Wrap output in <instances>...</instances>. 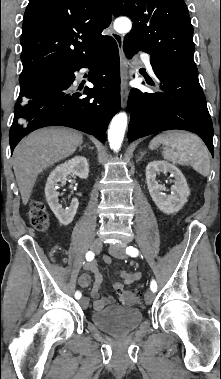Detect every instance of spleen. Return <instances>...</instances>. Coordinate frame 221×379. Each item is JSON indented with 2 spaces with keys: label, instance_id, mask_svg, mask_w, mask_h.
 <instances>
[{
  "label": "spleen",
  "instance_id": "1",
  "mask_svg": "<svg viewBox=\"0 0 221 379\" xmlns=\"http://www.w3.org/2000/svg\"><path fill=\"white\" fill-rule=\"evenodd\" d=\"M162 144L163 158L179 165H190L202 176L210 173L209 152L203 141L196 135L183 131H167L155 136L150 148Z\"/></svg>",
  "mask_w": 221,
  "mask_h": 379
}]
</instances>
